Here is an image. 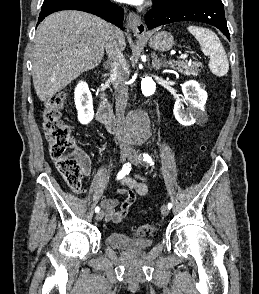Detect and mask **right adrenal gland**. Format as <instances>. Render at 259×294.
I'll return each mask as SVG.
<instances>
[{"label":"right adrenal gland","mask_w":259,"mask_h":294,"mask_svg":"<svg viewBox=\"0 0 259 294\" xmlns=\"http://www.w3.org/2000/svg\"><path fill=\"white\" fill-rule=\"evenodd\" d=\"M103 65H104L105 69H107V68H108V65H109V63H108V62H105Z\"/></svg>","instance_id":"1"}]
</instances>
